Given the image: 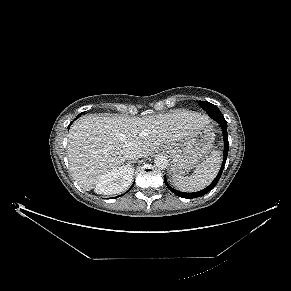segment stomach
<instances>
[{"label": "stomach", "instance_id": "0dacf381", "mask_svg": "<svg viewBox=\"0 0 291 291\" xmlns=\"http://www.w3.org/2000/svg\"><path fill=\"white\" fill-rule=\"evenodd\" d=\"M214 140L212 125L206 124L179 142L165 145L164 150L172 159V178L187 174L203 156L209 153Z\"/></svg>", "mask_w": 291, "mask_h": 291}]
</instances>
